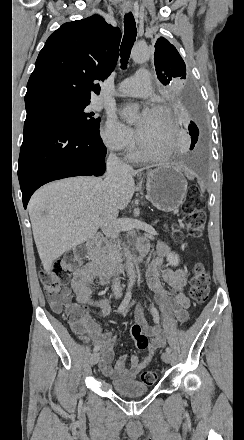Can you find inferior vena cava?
<instances>
[{"mask_svg":"<svg viewBox=\"0 0 244 440\" xmlns=\"http://www.w3.org/2000/svg\"><path fill=\"white\" fill-rule=\"evenodd\" d=\"M130 170H132L131 166L121 162L116 154H109L105 180H103L104 188H110V192H113V190L117 188L121 176H125ZM110 192H107L108 202L105 210H102L101 212L99 226L107 238H110V240H116L120 234L119 226L117 224L118 208L116 206V200L111 198ZM112 292L114 296H122V288L120 286L119 278H114Z\"/></svg>","mask_w":244,"mask_h":440,"instance_id":"1","label":"inferior vena cava"}]
</instances>
